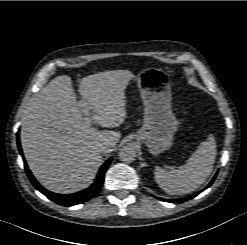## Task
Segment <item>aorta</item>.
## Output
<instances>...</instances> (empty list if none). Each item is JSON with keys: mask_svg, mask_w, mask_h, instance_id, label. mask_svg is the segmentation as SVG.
<instances>
[{"mask_svg": "<svg viewBox=\"0 0 247 245\" xmlns=\"http://www.w3.org/2000/svg\"><path fill=\"white\" fill-rule=\"evenodd\" d=\"M136 150L132 146H124L119 151V159L124 163H132L136 159Z\"/></svg>", "mask_w": 247, "mask_h": 245, "instance_id": "aorta-1", "label": "aorta"}]
</instances>
